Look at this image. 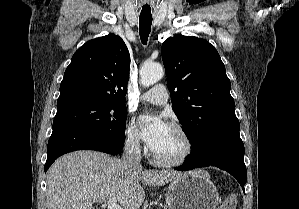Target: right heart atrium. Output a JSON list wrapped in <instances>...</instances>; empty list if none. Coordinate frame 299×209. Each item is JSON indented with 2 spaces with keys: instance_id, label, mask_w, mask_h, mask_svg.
Listing matches in <instances>:
<instances>
[{
  "instance_id": "d8ad5b80",
  "label": "right heart atrium",
  "mask_w": 299,
  "mask_h": 209,
  "mask_svg": "<svg viewBox=\"0 0 299 209\" xmlns=\"http://www.w3.org/2000/svg\"><path fill=\"white\" fill-rule=\"evenodd\" d=\"M125 143L126 146L133 152H139L141 150L140 135L132 123L127 125Z\"/></svg>"
}]
</instances>
